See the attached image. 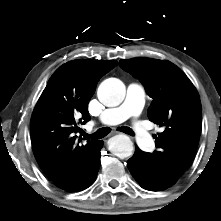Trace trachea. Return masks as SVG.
Masks as SVG:
<instances>
[{
    "instance_id": "trachea-1",
    "label": "trachea",
    "mask_w": 221,
    "mask_h": 221,
    "mask_svg": "<svg viewBox=\"0 0 221 221\" xmlns=\"http://www.w3.org/2000/svg\"><path fill=\"white\" fill-rule=\"evenodd\" d=\"M118 131L124 132L126 134H129L131 136L134 135L132 129H130L129 127L123 126V127H119L117 128ZM111 132V129L108 127H104V128H100L98 129L94 134L89 135L87 133H84V137L86 139H101L105 136H107L109 133Z\"/></svg>"
}]
</instances>
